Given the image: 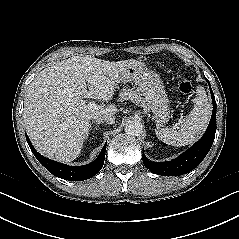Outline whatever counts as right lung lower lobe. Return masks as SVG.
I'll list each match as a JSON object with an SVG mask.
<instances>
[{
	"mask_svg": "<svg viewBox=\"0 0 239 239\" xmlns=\"http://www.w3.org/2000/svg\"><path fill=\"white\" fill-rule=\"evenodd\" d=\"M27 143L37 160L53 175L70 181H82L95 176L103 167L105 160L106 144L101 150L100 155L90 164L83 166H69L48 158L38 153L32 146L29 137L26 134Z\"/></svg>",
	"mask_w": 239,
	"mask_h": 239,
	"instance_id": "98d812e1",
	"label": "right lung lower lobe"
}]
</instances>
